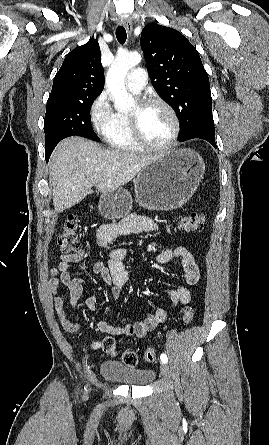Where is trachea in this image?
Returning a JSON list of instances; mask_svg holds the SVG:
<instances>
[{
    "mask_svg": "<svg viewBox=\"0 0 269 445\" xmlns=\"http://www.w3.org/2000/svg\"><path fill=\"white\" fill-rule=\"evenodd\" d=\"M116 38L120 44H124L127 39V33L123 26H118L116 29Z\"/></svg>",
    "mask_w": 269,
    "mask_h": 445,
    "instance_id": "obj_1",
    "label": "trachea"
}]
</instances>
